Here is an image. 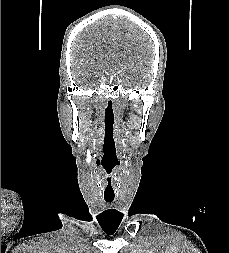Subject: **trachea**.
<instances>
[{
  "label": "trachea",
  "mask_w": 229,
  "mask_h": 253,
  "mask_svg": "<svg viewBox=\"0 0 229 253\" xmlns=\"http://www.w3.org/2000/svg\"><path fill=\"white\" fill-rule=\"evenodd\" d=\"M114 200V198H105V201L107 202H112Z\"/></svg>",
  "instance_id": "obj_1"
}]
</instances>
